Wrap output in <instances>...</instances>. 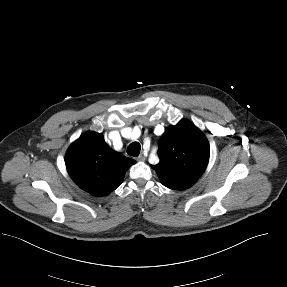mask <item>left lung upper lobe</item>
I'll return each mask as SVG.
<instances>
[{
    "mask_svg": "<svg viewBox=\"0 0 287 287\" xmlns=\"http://www.w3.org/2000/svg\"><path fill=\"white\" fill-rule=\"evenodd\" d=\"M159 164L152 166L161 183L174 190L192 186L209 160V143L190 121L182 120L166 129L159 141Z\"/></svg>",
    "mask_w": 287,
    "mask_h": 287,
    "instance_id": "obj_1",
    "label": "left lung upper lobe"
}]
</instances>
